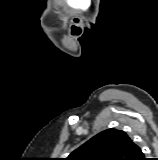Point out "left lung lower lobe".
<instances>
[{
    "label": "left lung lower lobe",
    "mask_w": 158,
    "mask_h": 160,
    "mask_svg": "<svg viewBox=\"0 0 158 160\" xmlns=\"http://www.w3.org/2000/svg\"><path fill=\"white\" fill-rule=\"evenodd\" d=\"M130 160H146V158H144V155H143L141 149L137 145L134 150L133 156L131 157Z\"/></svg>",
    "instance_id": "1"
}]
</instances>
